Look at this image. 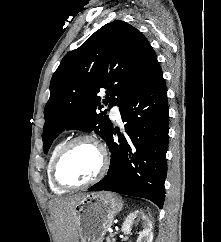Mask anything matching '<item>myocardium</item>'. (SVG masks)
Wrapping results in <instances>:
<instances>
[{
    "label": "myocardium",
    "instance_id": "obj_1",
    "mask_svg": "<svg viewBox=\"0 0 221 242\" xmlns=\"http://www.w3.org/2000/svg\"><path fill=\"white\" fill-rule=\"evenodd\" d=\"M81 141L91 142L98 148V151L100 153V165H99L98 171L95 173V175L92 178H90L85 182L76 183V184L65 183L61 181L58 176L59 165L63 160V158L65 157V155L67 154V152L70 150V148L74 144ZM108 166H109V158H108L107 150L104 147V145L93 136H90L87 134H81L71 138L70 140L65 142L64 145L61 147L51 166V178H52V181L55 183V185H57L62 189H65V190L81 189V188L88 187L96 183L97 181H99L105 175L108 169Z\"/></svg>",
    "mask_w": 221,
    "mask_h": 242
}]
</instances>
